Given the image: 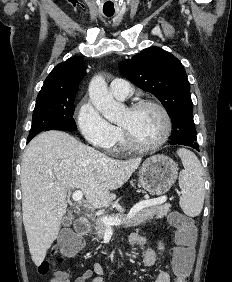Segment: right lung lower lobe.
<instances>
[{
	"instance_id": "1",
	"label": "right lung lower lobe",
	"mask_w": 232,
	"mask_h": 282,
	"mask_svg": "<svg viewBox=\"0 0 232 282\" xmlns=\"http://www.w3.org/2000/svg\"><path fill=\"white\" fill-rule=\"evenodd\" d=\"M56 129H58V130H65V129H63V128H56ZM30 140H28V142H29Z\"/></svg>"
}]
</instances>
